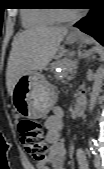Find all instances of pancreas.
Returning <instances> with one entry per match:
<instances>
[{
  "label": "pancreas",
  "instance_id": "obj_1",
  "mask_svg": "<svg viewBox=\"0 0 104 169\" xmlns=\"http://www.w3.org/2000/svg\"><path fill=\"white\" fill-rule=\"evenodd\" d=\"M62 71L60 73H56L55 77L57 79H63L67 77L69 74L73 73L75 70V65L72 60L70 59H64L60 62V65H62Z\"/></svg>",
  "mask_w": 104,
  "mask_h": 169
}]
</instances>
